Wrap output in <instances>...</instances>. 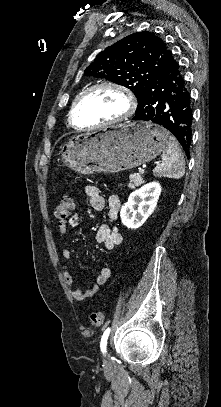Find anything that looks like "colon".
<instances>
[{"label": "colon", "instance_id": "obj_1", "mask_svg": "<svg viewBox=\"0 0 221 407\" xmlns=\"http://www.w3.org/2000/svg\"><path fill=\"white\" fill-rule=\"evenodd\" d=\"M74 210V200L72 196H64L58 202L54 209V215L57 219H69ZM104 322V313L102 311H94L90 315V323L94 327H99Z\"/></svg>", "mask_w": 221, "mask_h": 407}]
</instances>
